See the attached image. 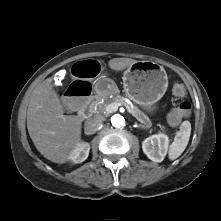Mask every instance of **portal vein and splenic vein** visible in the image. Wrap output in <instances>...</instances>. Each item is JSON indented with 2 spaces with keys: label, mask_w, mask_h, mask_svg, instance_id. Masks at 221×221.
Here are the masks:
<instances>
[{
  "label": "portal vein and splenic vein",
  "mask_w": 221,
  "mask_h": 221,
  "mask_svg": "<svg viewBox=\"0 0 221 221\" xmlns=\"http://www.w3.org/2000/svg\"><path fill=\"white\" fill-rule=\"evenodd\" d=\"M121 106L120 103H111L106 107L107 112H115L118 110V107ZM129 112V111H128ZM130 113V112H129Z\"/></svg>",
  "instance_id": "18ae733b"
}]
</instances>
